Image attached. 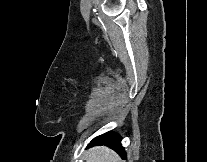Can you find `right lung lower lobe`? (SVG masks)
I'll use <instances>...</instances> for the list:
<instances>
[{"instance_id":"98d812e1","label":"right lung lower lobe","mask_w":207,"mask_h":162,"mask_svg":"<svg viewBox=\"0 0 207 162\" xmlns=\"http://www.w3.org/2000/svg\"><path fill=\"white\" fill-rule=\"evenodd\" d=\"M94 145H107L117 151L121 157H126L124 148L121 145V137L117 133L109 132L94 138L89 147Z\"/></svg>"}]
</instances>
